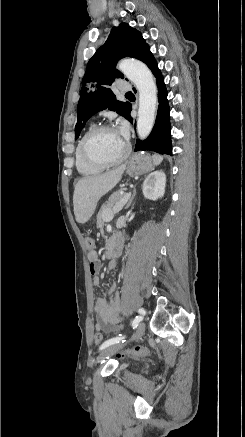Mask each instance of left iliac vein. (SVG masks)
<instances>
[{
    "label": "left iliac vein",
    "mask_w": 245,
    "mask_h": 437,
    "mask_svg": "<svg viewBox=\"0 0 245 437\" xmlns=\"http://www.w3.org/2000/svg\"><path fill=\"white\" fill-rule=\"evenodd\" d=\"M145 331V324L143 322H141L138 326L137 332L134 335L133 339L134 340H139L142 335L144 334ZM123 343H118V344H113L111 346H109L108 348L104 349L101 354L97 357V362L105 359L108 356H111L113 354H115L120 348H122Z\"/></svg>",
    "instance_id": "4c4485c4"
}]
</instances>
